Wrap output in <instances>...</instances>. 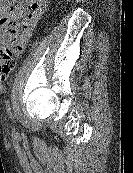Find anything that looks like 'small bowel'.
Returning a JSON list of instances; mask_svg holds the SVG:
<instances>
[{"label":"small bowel","mask_w":133,"mask_h":173,"mask_svg":"<svg viewBox=\"0 0 133 173\" xmlns=\"http://www.w3.org/2000/svg\"><path fill=\"white\" fill-rule=\"evenodd\" d=\"M0 0V45H11L20 55L47 6V0Z\"/></svg>","instance_id":"obj_1"}]
</instances>
